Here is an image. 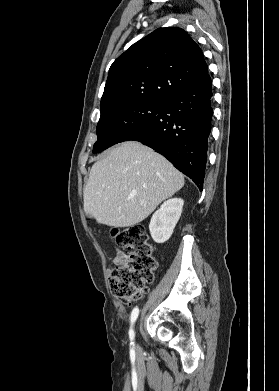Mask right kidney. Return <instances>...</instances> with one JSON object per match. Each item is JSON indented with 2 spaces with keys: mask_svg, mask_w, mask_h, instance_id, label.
Wrapping results in <instances>:
<instances>
[{
  "mask_svg": "<svg viewBox=\"0 0 279 391\" xmlns=\"http://www.w3.org/2000/svg\"><path fill=\"white\" fill-rule=\"evenodd\" d=\"M183 205V199L171 198L152 215L149 230L156 243H164L171 237L181 216Z\"/></svg>",
  "mask_w": 279,
  "mask_h": 391,
  "instance_id": "right-kidney-1",
  "label": "right kidney"
}]
</instances>
